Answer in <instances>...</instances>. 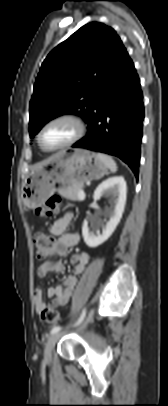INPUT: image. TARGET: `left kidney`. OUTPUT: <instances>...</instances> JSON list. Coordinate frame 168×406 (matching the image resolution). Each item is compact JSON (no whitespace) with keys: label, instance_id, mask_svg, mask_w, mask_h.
<instances>
[{"label":"left kidney","instance_id":"left-kidney-1","mask_svg":"<svg viewBox=\"0 0 168 406\" xmlns=\"http://www.w3.org/2000/svg\"><path fill=\"white\" fill-rule=\"evenodd\" d=\"M126 192L127 186L122 176L108 178L96 188L93 195L94 200H99L103 195L111 196V201L112 204H114V207H111L108 212L109 221L106 225H102L101 234L96 235L93 230L94 228H97L101 225L100 222L92 219L91 228H89L87 220L83 222L82 235L84 238V242L88 247L95 248L101 245L115 231L124 212L126 203Z\"/></svg>","mask_w":168,"mask_h":406}]
</instances>
